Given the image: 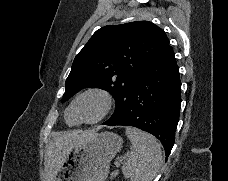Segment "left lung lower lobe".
I'll return each instance as SVG.
<instances>
[{"label": "left lung lower lobe", "mask_w": 228, "mask_h": 181, "mask_svg": "<svg viewBox=\"0 0 228 181\" xmlns=\"http://www.w3.org/2000/svg\"><path fill=\"white\" fill-rule=\"evenodd\" d=\"M181 81L171 46L141 73L132 88L125 115L109 126H134L157 137L168 158L175 141L181 105Z\"/></svg>", "instance_id": "obj_1"}]
</instances>
